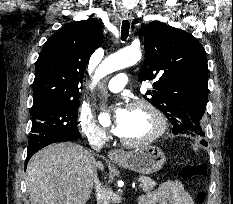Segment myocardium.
I'll use <instances>...</instances> for the list:
<instances>
[{
    "mask_svg": "<svg viewBox=\"0 0 233 204\" xmlns=\"http://www.w3.org/2000/svg\"><path fill=\"white\" fill-rule=\"evenodd\" d=\"M140 107L145 108L151 113L157 123V127L151 135L139 140H128L119 136V140L121 141V143L128 147H142L150 145L157 141L160 137H162L167 129V120L164 114L152 102L145 99H137L131 101L127 105V109Z\"/></svg>",
    "mask_w": 233,
    "mask_h": 204,
    "instance_id": "myocardium-1",
    "label": "myocardium"
}]
</instances>
